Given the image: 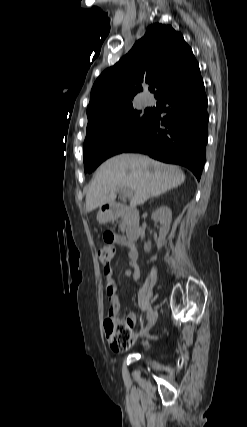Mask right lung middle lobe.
<instances>
[{"instance_id": "right-lung-middle-lobe-1", "label": "right lung middle lobe", "mask_w": 247, "mask_h": 427, "mask_svg": "<svg viewBox=\"0 0 247 427\" xmlns=\"http://www.w3.org/2000/svg\"><path fill=\"white\" fill-rule=\"evenodd\" d=\"M152 114L142 115L133 106L114 119L86 130L84 171L91 173L107 158L124 152L145 133Z\"/></svg>"}]
</instances>
